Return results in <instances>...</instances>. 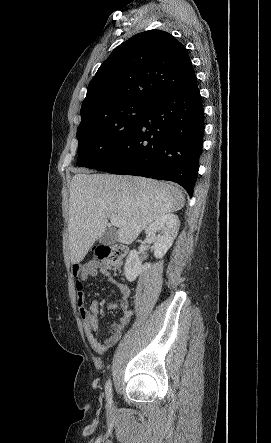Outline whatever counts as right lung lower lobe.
I'll return each mask as SVG.
<instances>
[{"instance_id":"obj_1","label":"right lung lower lobe","mask_w":271,"mask_h":443,"mask_svg":"<svg viewBox=\"0 0 271 443\" xmlns=\"http://www.w3.org/2000/svg\"><path fill=\"white\" fill-rule=\"evenodd\" d=\"M204 134L197 81L149 103L138 125L97 170L169 180L192 196Z\"/></svg>"}]
</instances>
